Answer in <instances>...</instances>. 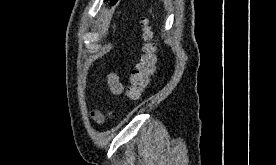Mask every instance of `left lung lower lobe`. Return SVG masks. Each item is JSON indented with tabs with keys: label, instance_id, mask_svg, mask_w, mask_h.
<instances>
[{
	"label": "left lung lower lobe",
	"instance_id": "1",
	"mask_svg": "<svg viewBox=\"0 0 276 165\" xmlns=\"http://www.w3.org/2000/svg\"><path fill=\"white\" fill-rule=\"evenodd\" d=\"M115 2H117V0H112V4H114Z\"/></svg>",
	"mask_w": 276,
	"mask_h": 165
}]
</instances>
